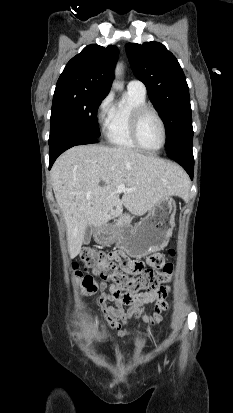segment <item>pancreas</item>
I'll list each match as a JSON object with an SVG mask.
<instances>
[{"label": "pancreas", "instance_id": "pancreas-1", "mask_svg": "<svg viewBox=\"0 0 233 413\" xmlns=\"http://www.w3.org/2000/svg\"><path fill=\"white\" fill-rule=\"evenodd\" d=\"M131 221H132V217L129 214H124L118 220H116L115 225L122 226V225L130 224Z\"/></svg>", "mask_w": 233, "mask_h": 413}]
</instances>
